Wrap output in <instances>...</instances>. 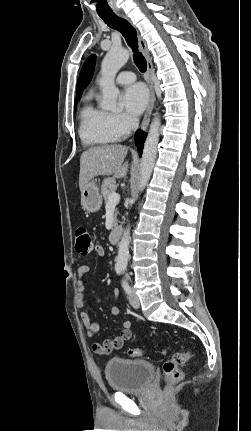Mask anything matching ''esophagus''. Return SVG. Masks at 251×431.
I'll return each instance as SVG.
<instances>
[{"label": "esophagus", "instance_id": "1", "mask_svg": "<svg viewBox=\"0 0 251 431\" xmlns=\"http://www.w3.org/2000/svg\"><path fill=\"white\" fill-rule=\"evenodd\" d=\"M121 15L127 19V17L125 15H123V14H121ZM138 41H139L140 49H141V51H142V53L146 59V62H147V83H148L149 91H150L149 104L147 106L143 121L141 123V129L145 130L147 128V126L149 125L152 110H153V107L155 104V91H154V84H153V80H152L153 64H152V60H151V57H150V54H149V51H148V48H147L145 41L140 36H138Z\"/></svg>", "mask_w": 251, "mask_h": 431}]
</instances>
